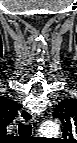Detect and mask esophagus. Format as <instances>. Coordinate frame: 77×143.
<instances>
[{
	"label": "esophagus",
	"instance_id": "obj_1",
	"mask_svg": "<svg viewBox=\"0 0 77 143\" xmlns=\"http://www.w3.org/2000/svg\"><path fill=\"white\" fill-rule=\"evenodd\" d=\"M19 118L24 124H30L34 121L35 115L29 110H24L20 113Z\"/></svg>",
	"mask_w": 77,
	"mask_h": 143
}]
</instances>
